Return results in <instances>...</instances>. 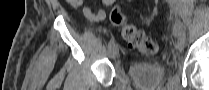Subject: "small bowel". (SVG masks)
Wrapping results in <instances>:
<instances>
[{"label": "small bowel", "mask_w": 209, "mask_h": 90, "mask_svg": "<svg viewBox=\"0 0 209 90\" xmlns=\"http://www.w3.org/2000/svg\"><path fill=\"white\" fill-rule=\"evenodd\" d=\"M105 4H109V0L104 1ZM84 15L91 21L97 22L106 17V13L103 10L98 11L97 13H94L93 10L90 7H85L83 9Z\"/></svg>", "instance_id": "1"}]
</instances>
